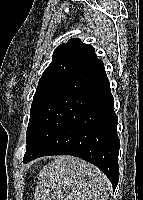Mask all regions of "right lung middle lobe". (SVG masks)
Here are the masks:
<instances>
[{
  "instance_id": "obj_1",
  "label": "right lung middle lobe",
  "mask_w": 143,
  "mask_h": 200,
  "mask_svg": "<svg viewBox=\"0 0 143 200\" xmlns=\"http://www.w3.org/2000/svg\"><path fill=\"white\" fill-rule=\"evenodd\" d=\"M64 79L65 78H62V77H51V78L39 80L38 87L33 97L32 105H31V113H30V120H29L28 127L37 109L39 108V106L47 98V96L52 92V90L55 87H57Z\"/></svg>"
}]
</instances>
